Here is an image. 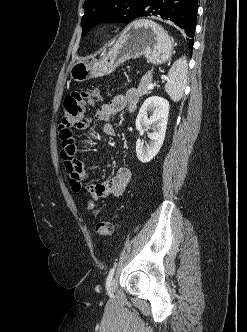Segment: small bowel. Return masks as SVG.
<instances>
[{
    "label": "small bowel",
    "mask_w": 247,
    "mask_h": 332,
    "mask_svg": "<svg viewBox=\"0 0 247 332\" xmlns=\"http://www.w3.org/2000/svg\"><path fill=\"white\" fill-rule=\"evenodd\" d=\"M138 102V93L135 89H129L123 94L115 96L110 102L102 105L95 111L92 119L102 123V131L105 135L114 137L115 129L111 123L112 117L124 109L134 111ZM78 147L72 138L71 142L63 143L61 157L69 176L70 187L73 192H84L94 202L101 198L119 197L123 194L131 180V171L127 167H120L116 174L108 181L95 185L85 186L87 173L83 164L76 158Z\"/></svg>",
    "instance_id": "c3829d8e"
}]
</instances>
